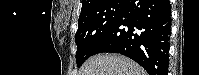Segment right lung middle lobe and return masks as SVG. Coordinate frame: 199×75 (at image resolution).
<instances>
[{
    "mask_svg": "<svg viewBox=\"0 0 199 75\" xmlns=\"http://www.w3.org/2000/svg\"><path fill=\"white\" fill-rule=\"evenodd\" d=\"M127 0H104L81 10L78 30L75 34L77 45L76 62L80 67L92 56L97 45L114 26Z\"/></svg>",
    "mask_w": 199,
    "mask_h": 75,
    "instance_id": "right-lung-middle-lobe-1",
    "label": "right lung middle lobe"
}]
</instances>
